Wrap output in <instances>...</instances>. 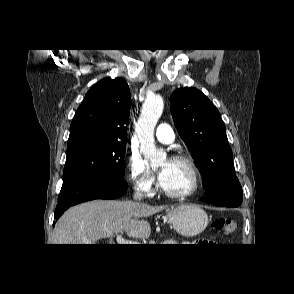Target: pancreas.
Returning a JSON list of instances; mask_svg holds the SVG:
<instances>
[{
	"instance_id": "1",
	"label": "pancreas",
	"mask_w": 294,
	"mask_h": 294,
	"mask_svg": "<svg viewBox=\"0 0 294 294\" xmlns=\"http://www.w3.org/2000/svg\"><path fill=\"white\" fill-rule=\"evenodd\" d=\"M164 244H176V242H164Z\"/></svg>"
}]
</instances>
